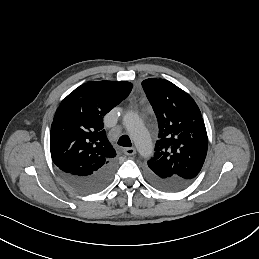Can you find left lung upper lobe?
I'll list each match as a JSON object with an SVG mask.
<instances>
[{
	"mask_svg": "<svg viewBox=\"0 0 259 259\" xmlns=\"http://www.w3.org/2000/svg\"><path fill=\"white\" fill-rule=\"evenodd\" d=\"M142 87L158 121L159 135L147 172L165 180L191 182L200 172L208 148L201 112L189 94L162 79H147Z\"/></svg>",
	"mask_w": 259,
	"mask_h": 259,
	"instance_id": "obj_1",
	"label": "left lung upper lobe"
}]
</instances>
